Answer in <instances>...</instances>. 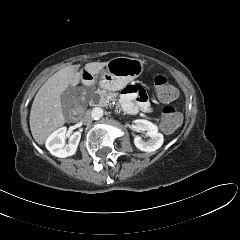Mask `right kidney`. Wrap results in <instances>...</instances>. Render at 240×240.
<instances>
[{
  "label": "right kidney",
  "instance_id": "1",
  "mask_svg": "<svg viewBox=\"0 0 240 240\" xmlns=\"http://www.w3.org/2000/svg\"><path fill=\"white\" fill-rule=\"evenodd\" d=\"M66 137H69V142L65 145ZM80 138V132H74L72 135H69L67 128L61 127L47 138L46 148L52 155L59 158L72 156L76 153Z\"/></svg>",
  "mask_w": 240,
  "mask_h": 240
}]
</instances>
